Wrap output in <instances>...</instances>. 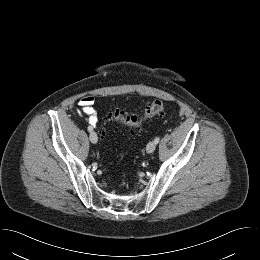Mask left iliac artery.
<instances>
[{
	"instance_id": "left-iliac-artery-1",
	"label": "left iliac artery",
	"mask_w": 260,
	"mask_h": 260,
	"mask_svg": "<svg viewBox=\"0 0 260 260\" xmlns=\"http://www.w3.org/2000/svg\"><path fill=\"white\" fill-rule=\"evenodd\" d=\"M159 141H160V137H156V138L154 139V142H155L156 144H158Z\"/></svg>"
}]
</instances>
